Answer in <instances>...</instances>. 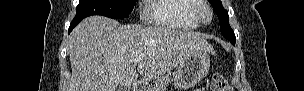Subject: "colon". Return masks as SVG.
I'll list each match as a JSON object with an SVG mask.
<instances>
[{"label": "colon", "instance_id": "1", "mask_svg": "<svg viewBox=\"0 0 304 91\" xmlns=\"http://www.w3.org/2000/svg\"><path fill=\"white\" fill-rule=\"evenodd\" d=\"M212 91H230L231 87L229 86L227 80L219 74H215L212 79L210 86Z\"/></svg>", "mask_w": 304, "mask_h": 91}]
</instances>
